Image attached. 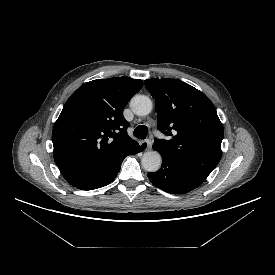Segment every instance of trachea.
I'll return each instance as SVG.
<instances>
[{
    "label": "trachea",
    "mask_w": 275,
    "mask_h": 275,
    "mask_svg": "<svg viewBox=\"0 0 275 275\" xmlns=\"http://www.w3.org/2000/svg\"><path fill=\"white\" fill-rule=\"evenodd\" d=\"M148 134V129L145 125H139L134 129V136L138 139H145Z\"/></svg>",
    "instance_id": "obj_1"
}]
</instances>
